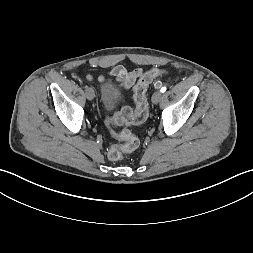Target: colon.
I'll list each match as a JSON object with an SVG mask.
<instances>
[{
    "label": "colon",
    "instance_id": "colon-1",
    "mask_svg": "<svg viewBox=\"0 0 253 253\" xmlns=\"http://www.w3.org/2000/svg\"><path fill=\"white\" fill-rule=\"evenodd\" d=\"M166 75L163 69H153L145 73L134 88L135 110L124 107L117 112L112 119L107 120L111 135L122 144L113 145L108 149L107 156L111 161L122 159L124 153L134 150L138 146V139L129 130L116 131L115 126L121 125H140L148 117L147 89L149 85L157 78Z\"/></svg>",
    "mask_w": 253,
    "mask_h": 253
}]
</instances>
